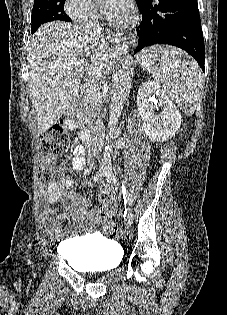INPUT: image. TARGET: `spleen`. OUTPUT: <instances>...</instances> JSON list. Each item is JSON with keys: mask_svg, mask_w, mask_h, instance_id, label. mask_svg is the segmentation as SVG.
<instances>
[{"mask_svg": "<svg viewBox=\"0 0 227 315\" xmlns=\"http://www.w3.org/2000/svg\"><path fill=\"white\" fill-rule=\"evenodd\" d=\"M138 61L184 113H194L203 77L193 59L177 48L156 46L143 50Z\"/></svg>", "mask_w": 227, "mask_h": 315, "instance_id": "1", "label": "spleen"}]
</instances>
